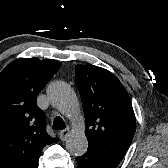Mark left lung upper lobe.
Masks as SVG:
<instances>
[{"instance_id": "1", "label": "left lung upper lobe", "mask_w": 168, "mask_h": 168, "mask_svg": "<svg viewBox=\"0 0 168 168\" xmlns=\"http://www.w3.org/2000/svg\"><path fill=\"white\" fill-rule=\"evenodd\" d=\"M75 68L89 148L121 160L136 130L129 95L108 70L93 65H76Z\"/></svg>"}]
</instances>
